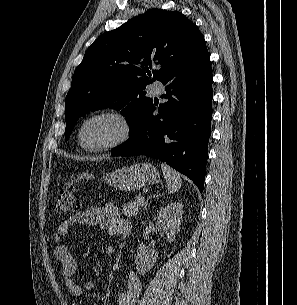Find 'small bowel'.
I'll list each match as a JSON object with an SVG mask.
<instances>
[{"mask_svg":"<svg viewBox=\"0 0 297 305\" xmlns=\"http://www.w3.org/2000/svg\"><path fill=\"white\" fill-rule=\"evenodd\" d=\"M76 225H92L107 230L110 235H125V231L131 229L130 223L123 219L120 210L113 204L104 207H87L80 212L70 215L61 221L53 231V250L56 258L62 265V279L75 297H81L88 291H92V283H78L73 279L77 271V263L64 245L63 240L67 237L70 229ZM105 252L112 255L115 247L109 244ZM141 292V282L138 275L129 272L127 276L126 289L118 295L117 305H135ZM72 305H77L73 303Z\"/></svg>","mask_w":297,"mask_h":305,"instance_id":"obj_1","label":"small bowel"}]
</instances>
